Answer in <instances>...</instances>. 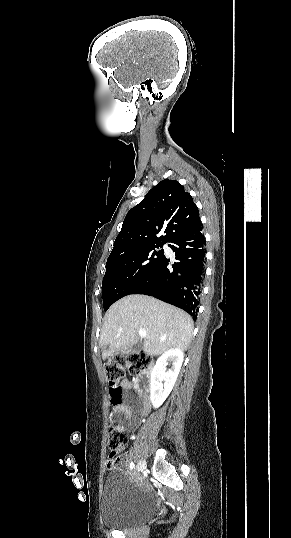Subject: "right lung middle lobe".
<instances>
[{
    "label": "right lung middle lobe",
    "mask_w": 291,
    "mask_h": 538,
    "mask_svg": "<svg viewBox=\"0 0 291 538\" xmlns=\"http://www.w3.org/2000/svg\"><path fill=\"white\" fill-rule=\"evenodd\" d=\"M163 245L143 247L107 259L106 273L102 282L104 310L120 298L129 295L152 272L164 256Z\"/></svg>",
    "instance_id": "1"
}]
</instances>
